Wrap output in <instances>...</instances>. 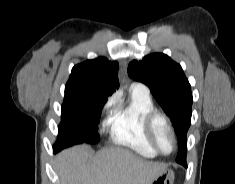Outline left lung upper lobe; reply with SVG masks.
<instances>
[{
  "label": "left lung upper lobe",
  "mask_w": 235,
  "mask_h": 184,
  "mask_svg": "<svg viewBox=\"0 0 235 184\" xmlns=\"http://www.w3.org/2000/svg\"><path fill=\"white\" fill-rule=\"evenodd\" d=\"M128 75L146 84L170 117L178 137L176 162L185 165L193 97L182 67L165 54L152 53L141 61L133 60L128 66Z\"/></svg>",
  "instance_id": "1"
}]
</instances>
